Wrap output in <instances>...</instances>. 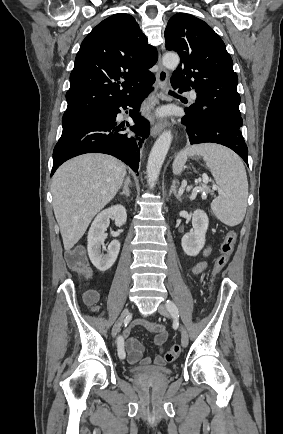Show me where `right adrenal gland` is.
<instances>
[{"instance_id": "1", "label": "right adrenal gland", "mask_w": 283, "mask_h": 434, "mask_svg": "<svg viewBox=\"0 0 283 434\" xmlns=\"http://www.w3.org/2000/svg\"><path fill=\"white\" fill-rule=\"evenodd\" d=\"M130 186H131V180L127 176L125 181H124L123 191L120 193V195H125V196L129 197L130 196V190H129Z\"/></svg>"}]
</instances>
